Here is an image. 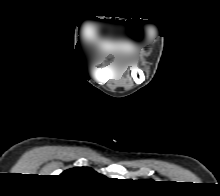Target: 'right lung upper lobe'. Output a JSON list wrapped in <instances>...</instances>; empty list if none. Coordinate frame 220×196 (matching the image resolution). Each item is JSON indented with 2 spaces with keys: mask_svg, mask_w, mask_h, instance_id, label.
<instances>
[{
  "mask_svg": "<svg viewBox=\"0 0 220 196\" xmlns=\"http://www.w3.org/2000/svg\"><path fill=\"white\" fill-rule=\"evenodd\" d=\"M60 176L70 177L82 181H90L98 178H105V176L98 174L90 167H75L64 171Z\"/></svg>",
  "mask_w": 220,
  "mask_h": 196,
  "instance_id": "1",
  "label": "right lung upper lobe"
}]
</instances>
